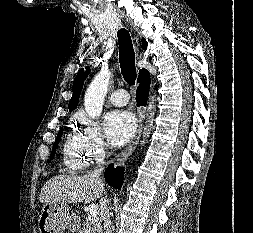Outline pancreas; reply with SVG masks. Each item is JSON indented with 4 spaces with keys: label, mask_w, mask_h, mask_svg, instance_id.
<instances>
[{
    "label": "pancreas",
    "mask_w": 253,
    "mask_h": 233,
    "mask_svg": "<svg viewBox=\"0 0 253 233\" xmlns=\"http://www.w3.org/2000/svg\"><path fill=\"white\" fill-rule=\"evenodd\" d=\"M81 233H102L101 221L99 218L87 217L82 223Z\"/></svg>",
    "instance_id": "obj_1"
}]
</instances>
